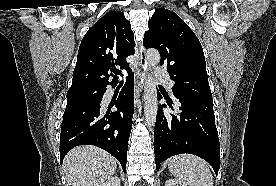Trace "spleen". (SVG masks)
Returning a JSON list of instances; mask_svg holds the SVG:
<instances>
[{
  "mask_svg": "<svg viewBox=\"0 0 276 186\" xmlns=\"http://www.w3.org/2000/svg\"><path fill=\"white\" fill-rule=\"evenodd\" d=\"M169 171L188 186H213V176L209 165L203 159L182 154L168 160Z\"/></svg>",
  "mask_w": 276,
  "mask_h": 186,
  "instance_id": "obj_1",
  "label": "spleen"
}]
</instances>
